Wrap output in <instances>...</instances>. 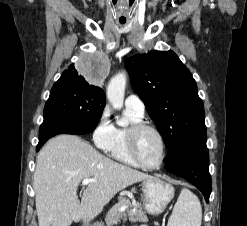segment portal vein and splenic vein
Returning <instances> with one entry per match:
<instances>
[{
    "mask_svg": "<svg viewBox=\"0 0 247 226\" xmlns=\"http://www.w3.org/2000/svg\"><path fill=\"white\" fill-rule=\"evenodd\" d=\"M91 182H97V180H95V179H84L83 181H82V185L83 186H85V185H88L89 183H91ZM126 206H123V207H121L120 209H119V211L120 212H124L125 210H126Z\"/></svg>",
    "mask_w": 247,
    "mask_h": 226,
    "instance_id": "portal-vein-and-splenic-vein-1",
    "label": "portal vein and splenic vein"
}]
</instances>
